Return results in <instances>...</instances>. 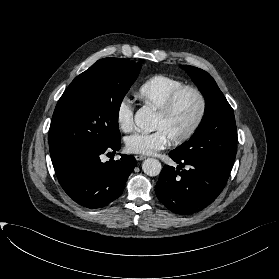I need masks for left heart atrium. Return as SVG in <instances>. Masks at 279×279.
<instances>
[{
	"label": "left heart atrium",
	"instance_id": "obj_1",
	"mask_svg": "<svg viewBox=\"0 0 279 279\" xmlns=\"http://www.w3.org/2000/svg\"><path fill=\"white\" fill-rule=\"evenodd\" d=\"M168 142L166 134L162 130L156 129L150 133L136 132L128 136L125 140V146L130 153L151 155L164 149Z\"/></svg>",
	"mask_w": 279,
	"mask_h": 279
}]
</instances>
